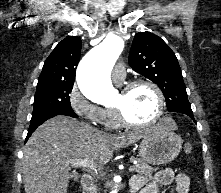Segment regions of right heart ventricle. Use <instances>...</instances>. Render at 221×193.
<instances>
[{
	"instance_id": "right-heart-ventricle-1",
	"label": "right heart ventricle",
	"mask_w": 221,
	"mask_h": 193,
	"mask_svg": "<svg viewBox=\"0 0 221 193\" xmlns=\"http://www.w3.org/2000/svg\"><path fill=\"white\" fill-rule=\"evenodd\" d=\"M104 125L111 129H116L121 126L117 114L114 109H104Z\"/></svg>"
}]
</instances>
